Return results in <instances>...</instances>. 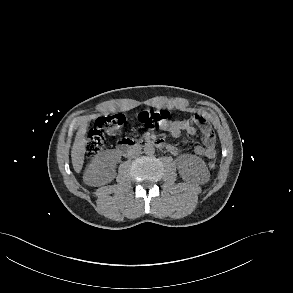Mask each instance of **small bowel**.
Instances as JSON below:
<instances>
[{
    "instance_id": "c3829d8e",
    "label": "small bowel",
    "mask_w": 293,
    "mask_h": 293,
    "mask_svg": "<svg viewBox=\"0 0 293 293\" xmlns=\"http://www.w3.org/2000/svg\"><path fill=\"white\" fill-rule=\"evenodd\" d=\"M194 121L199 123L203 141V145L195 146L194 152L198 156L213 159L216 155V137L210 124L204 116L198 115L193 119H171L168 120L165 124H163L161 126V129L167 131L171 134V136L175 138L180 137L182 133H186L190 136H193L196 134V129L193 126ZM166 149L173 155L179 154L178 148L172 144H168L166 146Z\"/></svg>"
}]
</instances>
